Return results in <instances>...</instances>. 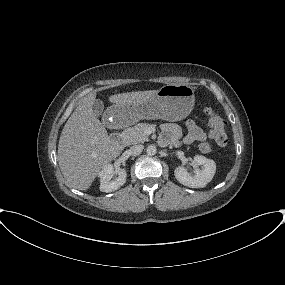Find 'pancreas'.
I'll list each match as a JSON object with an SVG mask.
<instances>
[{
  "label": "pancreas",
  "mask_w": 285,
  "mask_h": 285,
  "mask_svg": "<svg viewBox=\"0 0 285 285\" xmlns=\"http://www.w3.org/2000/svg\"><path fill=\"white\" fill-rule=\"evenodd\" d=\"M151 126L149 123H138L134 127L125 129L122 133L124 143L131 145L148 141L149 137L145 131Z\"/></svg>",
  "instance_id": "1"
}]
</instances>
